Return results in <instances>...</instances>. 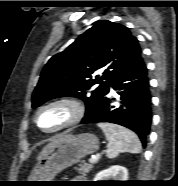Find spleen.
<instances>
[{
    "instance_id": "spleen-1",
    "label": "spleen",
    "mask_w": 178,
    "mask_h": 186,
    "mask_svg": "<svg viewBox=\"0 0 178 186\" xmlns=\"http://www.w3.org/2000/svg\"><path fill=\"white\" fill-rule=\"evenodd\" d=\"M108 141L106 156L113 159L122 152L140 153L142 146L135 133L120 125L98 123Z\"/></svg>"
}]
</instances>
